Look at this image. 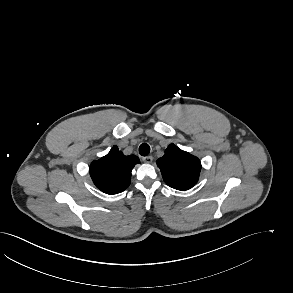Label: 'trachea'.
Here are the masks:
<instances>
[{"label":"trachea","instance_id":"obj_1","mask_svg":"<svg viewBox=\"0 0 293 293\" xmlns=\"http://www.w3.org/2000/svg\"><path fill=\"white\" fill-rule=\"evenodd\" d=\"M139 153L142 156H147L150 153V147L148 144L143 143L139 147Z\"/></svg>","mask_w":293,"mask_h":293}]
</instances>
